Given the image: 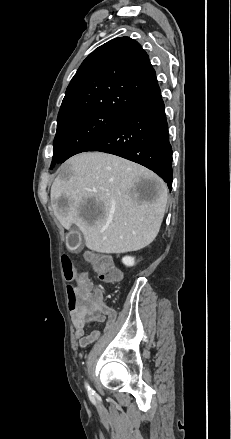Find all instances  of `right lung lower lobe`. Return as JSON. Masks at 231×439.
<instances>
[{
    "label": "right lung lower lobe",
    "mask_w": 231,
    "mask_h": 439,
    "mask_svg": "<svg viewBox=\"0 0 231 439\" xmlns=\"http://www.w3.org/2000/svg\"><path fill=\"white\" fill-rule=\"evenodd\" d=\"M86 151H101L139 163L172 189V147L161 93L132 109Z\"/></svg>",
    "instance_id": "98d812e1"
}]
</instances>
